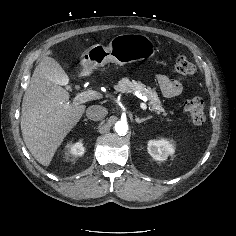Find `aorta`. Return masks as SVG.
Returning <instances> with one entry per match:
<instances>
[{"label":"aorta","instance_id":"1","mask_svg":"<svg viewBox=\"0 0 236 236\" xmlns=\"http://www.w3.org/2000/svg\"><path fill=\"white\" fill-rule=\"evenodd\" d=\"M115 131L119 135H125L128 131V124L126 121H118L115 123Z\"/></svg>","mask_w":236,"mask_h":236}]
</instances>
